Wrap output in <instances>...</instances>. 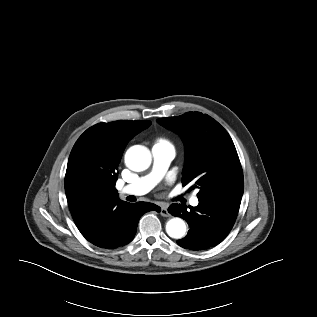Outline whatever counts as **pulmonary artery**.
Returning <instances> with one entry per match:
<instances>
[{
	"instance_id": "obj_1",
	"label": "pulmonary artery",
	"mask_w": 317,
	"mask_h": 317,
	"mask_svg": "<svg viewBox=\"0 0 317 317\" xmlns=\"http://www.w3.org/2000/svg\"><path fill=\"white\" fill-rule=\"evenodd\" d=\"M153 166L151 171L127 184L120 189L122 195H143L149 192L164 176L171 161L175 156V150L171 144L165 141H157L152 147ZM199 200L196 196L190 199L192 206H197Z\"/></svg>"
}]
</instances>
